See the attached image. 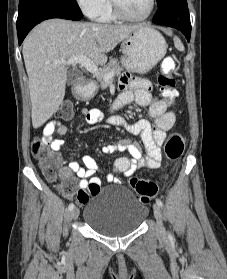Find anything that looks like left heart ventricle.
<instances>
[{
  "label": "left heart ventricle",
  "instance_id": "1",
  "mask_svg": "<svg viewBox=\"0 0 227 279\" xmlns=\"http://www.w3.org/2000/svg\"><path fill=\"white\" fill-rule=\"evenodd\" d=\"M119 5L132 16H142L149 9L150 0H117Z\"/></svg>",
  "mask_w": 227,
  "mask_h": 279
}]
</instances>
